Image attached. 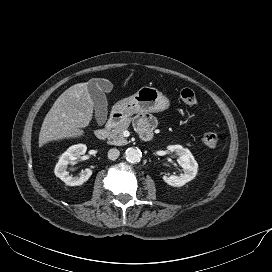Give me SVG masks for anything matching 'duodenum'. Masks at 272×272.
<instances>
[{
    "label": "duodenum",
    "instance_id": "1",
    "mask_svg": "<svg viewBox=\"0 0 272 272\" xmlns=\"http://www.w3.org/2000/svg\"><path fill=\"white\" fill-rule=\"evenodd\" d=\"M121 114L119 112H115L106 122L104 126L97 129L95 131V135L99 139L107 138L109 131L113 128V126L120 120ZM151 137V136H150Z\"/></svg>",
    "mask_w": 272,
    "mask_h": 272
}]
</instances>
